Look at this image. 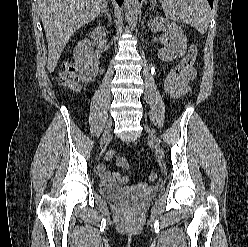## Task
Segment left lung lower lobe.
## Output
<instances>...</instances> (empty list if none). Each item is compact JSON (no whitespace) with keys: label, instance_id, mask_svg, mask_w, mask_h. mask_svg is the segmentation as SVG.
Returning a JSON list of instances; mask_svg holds the SVG:
<instances>
[{"label":"left lung lower lobe","instance_id":"left-lung-lower-lobe-1","mask_svg":"<svg viewBox=\"0 0 248 247\" xmlns=\"http://www.w3.org/2000/svg\"><path fill=\"white\" fill-rule=\"evenodd\" d=\"M139 1H141V0H139ZM208 2H209L210 6L212 8V6H213V0H208Z\"/></svg>","mask_w":248,"mask_h":247}]
</instances>
